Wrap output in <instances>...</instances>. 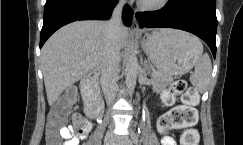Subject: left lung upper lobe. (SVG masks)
Here are the masks:
<instances>
[{
    "mask_svg": "<svg viewBox=\"0 0 243 145\" xmlns=\"http://www.w3.org/2000/svg\"><path fill=\"white\" fill-rule=\"evenodd\" d=\"M193 4L196 7L215 8V0H178Z\"/></svg>",
    "mask_w": 243,
    "mask_h": 145,
    "instance_id": "left-lung-upper-lobe-1",
    "label": "left lung upper lobe"
}]
</instances>
